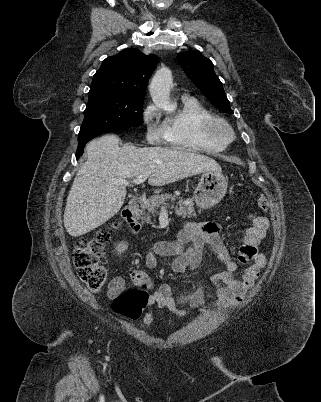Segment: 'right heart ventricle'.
I'll list each match as a JSON object with an SVG mask.
<instances>
[{
	"instance_id": "e07e8e85",
	"label": "right heart ventricle",
	"mask_w": 321,
	"mask_h": 402,
	"mask_svg": "<svg viewBox=\"0 0 321 402\" xmlns=\"http://www.w3.org/2000/svg\"><path fill=\"white\" fill-rule=\"evenodd\" d=\"M212 116L211 112L196 98L182 99L179 111L162 123L163 138L168 145L208 154L224 150L225 145L208 138L201 122Z\"/></svg>"
}]
</instances>
